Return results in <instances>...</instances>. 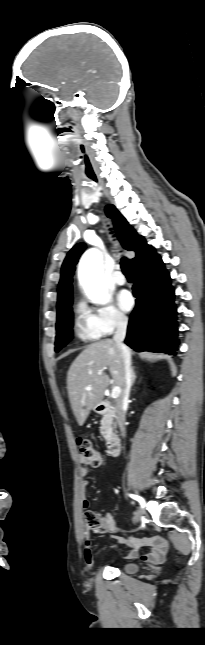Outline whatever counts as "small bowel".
<instances>
[{
    "instance_id": "c3829d8e",
    "label": "small bowel",
    "mask_w": 205,
    "mask_h": 645,
    "mask_svg": "<svg viewBox=\"0 0 205 645\" xmlns=\"http://www.w3.org/2000/svg\"><path fill=\"white\" fill-rule=\"evenodd\" d=\"M81 462V476L84 478L89 472V464L83 459H80ZM88 480H82V486L86 488L88 486ZM83 507L87 509L89 507V502L84 499ZM107 529L115 535V538L118 539L121 543L126 545L129 548L128 553L126 554V559H137L139 557V551L143 547H148L149 551L141 556V560L146 563H160L164 560L167 550L168 543L166 539L162 536H153V537H133L125 535L120 528L117 527L113 517L110 514H107L104 518ZM88 535V530L85 531V536ZM84 558L87 565L91 566L94 562L92 552L89 548V542H86V549L84 551Z\"/></svg>"
}]
</instances>
